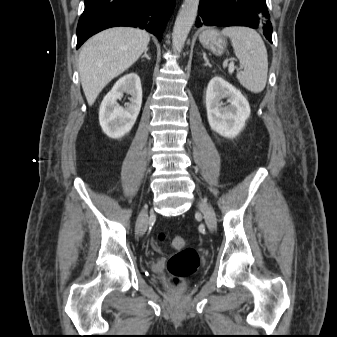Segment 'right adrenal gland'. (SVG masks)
Instances as JSON below:
<instances>
[{"label": "right adrenal gland", "mask_w": 337, "mask_h": 337, "mask_svg": "<svg viewBox=\"0 0 337 337\" xmlns=\"http://www.w3.org/2000/svg\"><path fill=\"white\" fill-rule=\"evenodd\" d=\"M147 51H148V49H146V50L144 51V55L142 56V58H143V57H146L148 60H150L151 58H150L149 55L147 54Z\"/></svg>", "instance_id": "1"}]
</instances>
